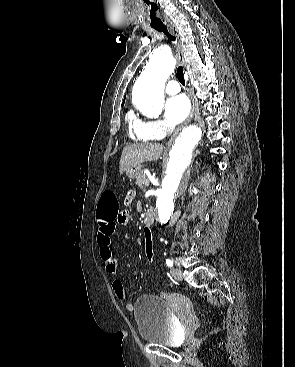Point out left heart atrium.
<instances>
[{
    "label": "left heart atrium",
    "instance_id": "39dd6f15",
    "mask_svg": "<svg viewBox=\"0 0 295 367\" xmlns=\"http://www.w3.org/2000/svg\"><path fill=\"white\" fill-rule=\"evenodd\" d=\"M189 111L190 103L184 95L171 97L165 104V117L171 125H176L183 121Z\"/></svg>",
    "mask_w": 295,
    "mask_h": 367
}]
</instances>
